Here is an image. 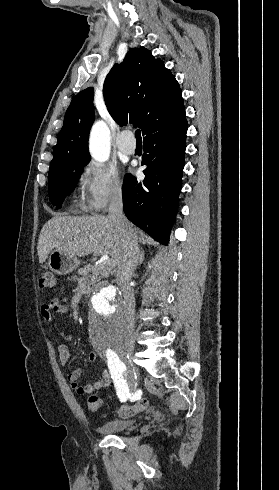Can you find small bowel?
Listing matches in <instances>:
<instances>
[{
  "label": "small bowel",
  "instance_id": "c3829d8e",
  "mask_svg": "<svg viewBox=\"0 0 279 490\" xmlns=\"http://www.w3.org/2000/svg\"><path fill=\"white\" fill-rule=\"evenodd\" d=\"M68 310L69 308L66 304L60 302L57 298H54L43 305L42 316L46 320H51L54 315H65ZM58 358L61 365L68 364L70 360V347L66 343H58ZM96 359L97 356L95 353H91L89 355V360L91 362L96 361ZM82 375L83 370L81 368H77L67 376V380L71 387L81 395L99 391L111 383V376L107 369L102 370L99 379L90 384H79Z\"/></svg>",
  "mask_w": 279,
  "mask_h": 490
}]
</instances>
